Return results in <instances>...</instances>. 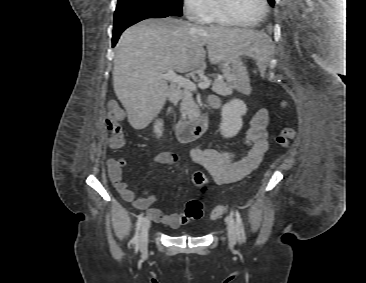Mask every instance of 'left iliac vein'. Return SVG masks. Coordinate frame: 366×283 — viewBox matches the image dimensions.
Instances as JSON below:
<instances>
[{
    "label": "left iliac vein",
    "instance_id": "left-iliac-vein-1",
    "mask_svg": "<svg viewBox=\"0 0 366 283\" xmlns=\"http://www.w3.org/2000/svg\"><path fill=\"white\" fill-rule=\"evenodd\" d=\"M227 236L231 246L237 242V229L232 214L227 216Z\"/></svg>",
    "mask_w": 366,
    "mask_h": 283
}]
</instances>
